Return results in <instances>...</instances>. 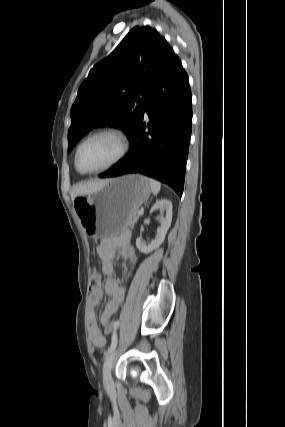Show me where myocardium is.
Masks as SVG:
<instances>
[{
  "label": "myocardium",
  "mask_w": 285,
  "mask_h": 427,
  "mask_svg": "<svg viewBox=\"0 0 285 427\" xmlns=\"http://www.w3.org/2000/svg\"><path fill=\"white\" fill-rule=\"evenodd\" d=\"M112 135L115 136L121 143V149L119 154L117 155V157L111 161L109 164H107L106 166L96 169V170H92V171H85L83 169H81L80 165H79V153L80 150L82 149V147L91 139L100 136V135ZM129 151V140L128 137L126 136V134L116 128H112V127H107V128H102L92 134H90L89 136H87L77 147L76 149V153H75V158H74V162H75V167L76 169L82 173V174H98V173H102L105 172L111 168H113L114 166H116L118 163H120L124 157L127 155Z\"/></svg>",
  "instance_id": "myocardium-1"
}]
</instances>
